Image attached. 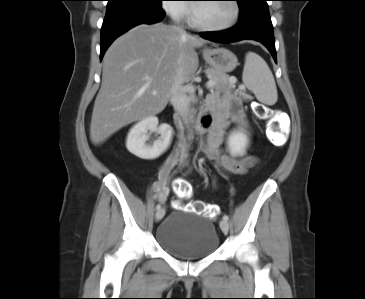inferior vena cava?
<instances>
[{
    "label": "inferior vena cava",
    "mask_w": 365,
    "mask_h": 299,
    "mask_svg": "<svg viewBox=\"0 0 365 299\" xmlns=\"http://www.w3.org/2000/svg\"><path fill=\"white\" fill-rule=\"evenodd\" d=\"M176 20H179V15H177ZM182 30V29H181ZM183 31V30H182ZM170 102L173 105L175 111L181 115L185 116L188 112L189 99L185 92L182 90V79L180 70L177 72L174 85L170 95ZM185 144L182 145L181 155L185 156Z\"/></svg>",
    "instance_id": "inferior-vena-cava-1"
}]
</instances>
